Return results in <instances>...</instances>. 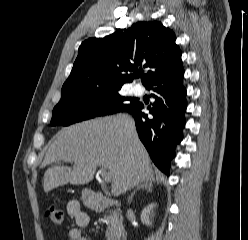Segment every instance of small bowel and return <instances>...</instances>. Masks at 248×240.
Listing matches in <instances>:
<instances>
[{"instance_id":"small-bowel-1","label":"small bowel","mask_w":248,"mask_h":240,"mask_svg":"<svg viewBox=\"0 0 248 240\" xmlns=\"http://www.w3.org/2000/svg\"><path fill=\"white\" fill-rule=\"evenodd\" d=\"M67 213L77 225V227H72L67 231V238L69 240H88L82 235L81 228L86 227L90 219L81 203L77 200L70 201L67 204Z\"/></svg>"}]
</instances>
